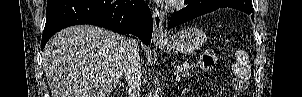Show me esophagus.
<instances>
[{"label":"esophagus","mask_w":302,"mask_h":97,"mask_svg":"<svg viewBox=\"0 0 302 97\" xmlns=\"http://www.w3.org/2000/svg\"><path fill=\"white\" fill-rule=\"evenodd\" d=\"M153 35L152 39L154 43H161L166 40V36L163 33V21H164V13L159 9L155 8L153 10Z\"/></svg>","instance_id":"obj_1"}]
</instances>
